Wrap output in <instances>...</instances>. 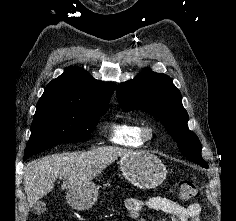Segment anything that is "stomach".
Wrapping results in <instances>:
<instances>
[{
  "label": "stomach",
  "instance_id": "obj_1",
  "mask_svg": "<svg viewBox=\"0 0 236 221\" xmlns=\"http://www.w3.org/2000/svg\"><path fill=\"white\" fill-rule=\"evenodd\" d=\"M119 164L125 179L140 189L159 186L167 174L162 161L145 151L126 153L120 158ZM97 198L98 189L92 182L70 188L66 194L67 202L77 210L89 209Z\"/></svg>",
  "mask_w": 236,
  "mask_h": 221
}]
</instances>
